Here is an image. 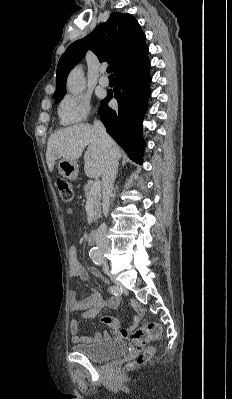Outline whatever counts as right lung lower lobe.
<instances>
[{
    "label": "right lung lower lobe",
    "mask_w": 232,
    "mask_h": 399,
    "mask_svg": "<svg viewBox=\"0 0 232 399\" xmlns=\"http://www.w3.org/2000/svg\"><path fill=\"white\" fill-rule=\"evenodd\" d=\"M150 62L147 54L129 62L114 73L116 87L108 92L98 110L100 120L111 137L127 152L128 157L142 163L144 141L142 139V120L150 95ZM118 102V110L108 107L110 99Z\"/></svg>",
    "instance_id": "right-lung-lower-lobe-1"
}]
</instances>
